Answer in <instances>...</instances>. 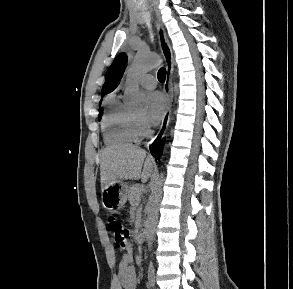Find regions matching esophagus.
<instances>
[{
	"mask_svg": "<svg viewBox=\"0 0 293 289\" xmlns=\"http://www.w3.org/2000/svg\"><path fill=\"white\" fill-rule=\"evenodd\" d=\"M156 27H157L160 49L166 63V80H165L163 89L167 98V110L162 119L160 129L154 138V140L160 141L166 135V132L170 123L171 108H172V101H173L172 75H173V69H174V58H173V52L169 44L165 29L159 20L156 21Z\"/></svg>",
	"mask_w": 293,
	"mask_h": 289,
	"instance_id": "obj_1",
	"label": "esophagus"
}]
</instances>
